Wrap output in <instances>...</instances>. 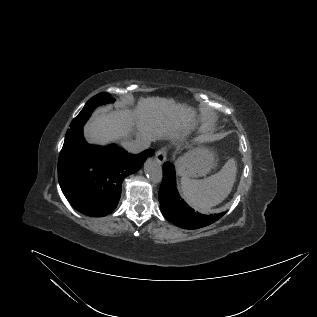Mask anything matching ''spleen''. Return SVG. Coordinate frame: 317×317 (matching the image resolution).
Returning <instances> with one entry per match:
<instances>
[{"mask_svg":"<svg viewBox=\"0 0 317 317\" xmlns=\"http://www.w3.org/2000/svg\"><path fill=\"white\" fill-rule=\"evenodd\" d=\"M236 163L229 159L214 175L201 180L181 178V189L187 203L195 210L207 212L221 203L231 192L236 178Z\"/></svg>","mask_w":317,"mask_h":317,"instance_id":"spleen-1","label":"spleen"}]
</instances>
